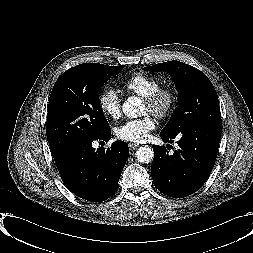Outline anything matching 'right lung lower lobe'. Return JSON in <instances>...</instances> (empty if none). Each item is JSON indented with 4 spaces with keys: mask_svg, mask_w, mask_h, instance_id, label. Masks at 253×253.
<instances>
[{
    "mask_svg": "<svg viewBox=\"0 0 253 253\" xmlns=\"http://www.w3.org/2000/svg\"><path fill=\"white\" fill-rule=\"evenodd\" d=\"M110 128L95 138H83L54 158L67 188L76 196L101 202L114 195L129 155L128 145L115 141L110 148L95 150L92 142L108 141Z\"/></svg>",
    "mask_w": 253,
    "mask_h": 253,
    "instance_id": "right-lung-lower-lobe-1",
    "label": "right lung lower lobe"
}]
</instances>
